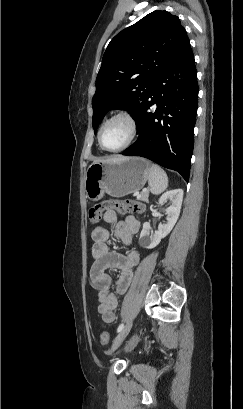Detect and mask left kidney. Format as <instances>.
I'll list each match as a JSON object with an SVG mask.
<instances>
[{"label":"left kidney","mask_w":243,"mask_h":409,"mask_svg":"<svg viewBox=\"0 0 243 409\" xmlns=\"http://www.w3.org/2000/svg\"><path fill=\"white\" fill-rule=\"evenodd\" d=\"M167 200L172 202V204L166 209L167 223H160L158 231L152 233L150 223L145 222L139 238V243L142 247L147 249L155 248L160 243L161 239L170 233L177 222L183 200V190L175 189L165 192L160 197L159 204L163 205Z\"/></svg>","instance_id":"5707ae66"}]
</instances>
